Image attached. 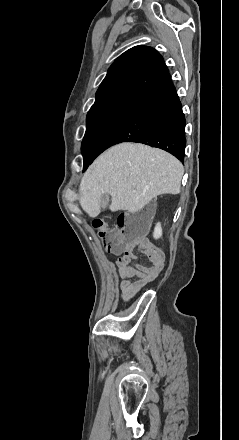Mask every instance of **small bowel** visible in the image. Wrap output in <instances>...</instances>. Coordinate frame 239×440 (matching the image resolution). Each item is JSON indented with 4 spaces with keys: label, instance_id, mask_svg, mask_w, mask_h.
I'll use <instances>...</instances> for the list:
<instances>
[{
    "label": "small bowel",
    "instance_id": "small-bowel-1",
    "mask_svg": "<svg viewBox=\"0 0 239 440\" xmlns=\"http://www.w3.org/2000/svg\"><path fill=\"white\" fill-rule=\"evenodd\" d=\"M136 248L148 257L149 265L137 262ZM164 263L163 253L147 242L131 245L120 253L117 264L122 278L120 289L123 297L132 298L144 286L152 282L162 271Z\"/></svg>",
    "mask_w": 239,
    "mask_h": 440
}]
</instances>
